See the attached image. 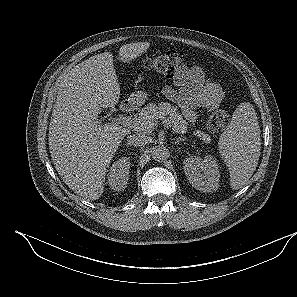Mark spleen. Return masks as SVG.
I'll use <instances>...</instances> for the list:
<instances>
[{"mask_svg":"<svg viewBox=\"0 0 297 297\" xmlns=\"http://www.w3.org/2000/svg\"><path fill=\"white\" fill-rule=\"evenodd\" d=\"M219 153L230 171L233 190L242 188L256 170L260 149V127L249 102L241 103L233 113L230 125L219 139Z\"/></svg>","mask_w":297,"mask_h":297,"instance_id":"3e777b00","label":"spleen"}]
</instances>
